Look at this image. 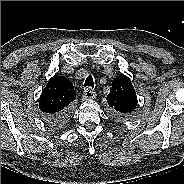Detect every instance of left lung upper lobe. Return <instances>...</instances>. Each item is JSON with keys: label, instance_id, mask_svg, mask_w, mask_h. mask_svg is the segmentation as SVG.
<instances>
[{"label": "left lung upper lobe", "instance_id": "5c2ea615", "mask_svg": "<svg viewBox=\"0 0 184 184\" xmlns=\"http://www.w3.org/2000/svg\"><path fill=\"white\" fill-rule=\"evenodd\" d=\"M109 106L115 110L120 118L130 119L134 117L137 105V96L130 79L120 75L112 82L110 93L107 95Z\"/></svg>", "mask_w": 184, "mask_h": 184}]
</instances>
